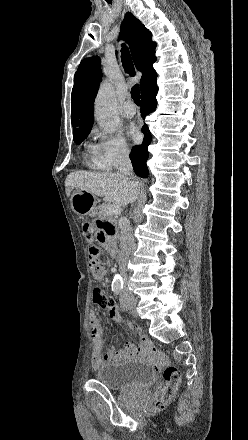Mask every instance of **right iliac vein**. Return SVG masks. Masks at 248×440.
Returning <instances> with one entry per match:
<instances>
[{"label":"right iliac vein","mask_w":248,"mask_h":440,"mask_svg":"<svg viewBox=\"0 0 248 440\" xmlns=\"http://www.w3.org/2000/svg\"><path fill=\"white\" fill-rule=\"evenodd\" d=\"M124 302H125V305H126L129 309H131L132 311H134L135 306H136V301H135V299H134L133 297H128V298H126V299L124 300Z\"/></svg>","instance_id":"63e3f726"}]
</instances>
